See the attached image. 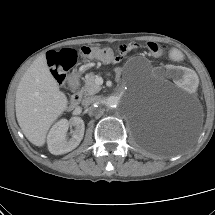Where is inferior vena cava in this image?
I'll list each match as a JSON object with an SVG mask.
<instances>
[{
    "label": "inferior vena cava",
    "instance_id": "1",
    "mask_svg": "<svg viewBox=\"0 0 215 215\" xmlns=\"http://www.w3.org/2000/svg\"><path fill=\"white\" fill-rule=\"evenodd\" d=\"M99 101L98 97H87L82 101L83 106H89L95 104Z\"/></svg>",
    "mask_w": 215,
    "mask_h": 215
}]
</instances>
